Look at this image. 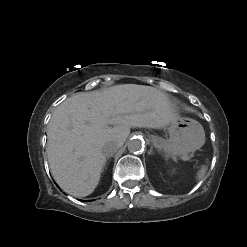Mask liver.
<instances>
[{"label": "liver", "mask_w": 247, "mask_h": 247, "mask_svg": "<svg viewBox=\"0 0 247 247\" xmlns=\"http://www.w3.org/2000/svg\"><path fill=\"white\" fill-rule=\"evenodd\" d=\"M176 116L166 94L151 86L121 84L75 94L55 109L48 124L52 176L70 195L88 196L106 163L105 143L122 146L132 127L160 129Z\"/></svg>", "instance_id": "6515ba94"}]
</instances>
